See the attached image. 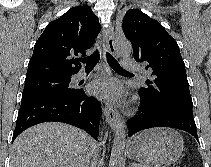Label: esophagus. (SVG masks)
Wrapping results in <instances>:
<instances>
[{
    "instance_id": "obj_1",
    "label": "esophagus",
    "mask_w": 211,
    "mask_h": 167,
    "mask_svg": "<svg viewBox=\"0 0 211 167\" xmlns=\"http://www.w3.org/2000/svg\"><path fill=\"white\" fill-rule=\"evenodd\" d=\"M106 47L110 54L116 55L114 32L112 27H110L107 32ZM104 73L106 76H110L112 74L111 68L107 63H105L104 65ZM105 115H106V120L110 125L111 129L115 130L119 122V114L115 109V107H113V105L108 100L105 102Z\"/></svg>"
}]
</instances>
